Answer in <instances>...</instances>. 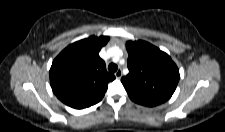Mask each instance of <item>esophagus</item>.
<instances>
[{
  "label": "esophagus",
  "instance_id": "obj_1",
  "mask_svg": "<svg viewBox=\"0 0 225 132\" xmlns=\"http://www.w3.org/2000/svg\"><path fill=\"white\" fill-rule=\"evenodd\" d=\"M115 77L117 79H120L122 77V71L120 69L115 72Z\"/></svg>",
  "mask_w": 225,
  "mask_h": 132
}]
</instances>
